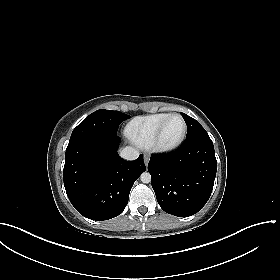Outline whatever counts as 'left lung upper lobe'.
Instances as JSON below:
<instances>
[{"instance_id":"5c2ea615","label":"left lung upper lobe","mask_w":280,"mask_h":280,"mask_svg":"<svg viewBox=\"0 0 280 280\" xmlns=\"http://www.w3.org/2000/svg\"><path fill=\"white\" fill-rule=\"evenodd\" d=\"M181 115L187 124L186 138L208 135L205 129L195 119L191 118L190 116L184 113H181Z\"/></svg>"}]
</instances>
